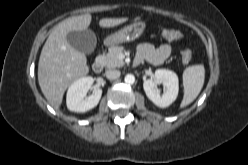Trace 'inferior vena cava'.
I'll list each match as a JSON object with an SVG mask.
<instances>
[{"label":"inferior vena cava","instance_id":"1","mask_svg":"<svg viewBox=\"0 0 248 165\" xmlns=\"http://www.w3.org/2000/svg\"><path fill=\"white\" fill-rule=\"evenodd\" d=\"M120 71L119 70H107L106 72H105V75H106V77L108 78V79H110V80H114V79H117V78H119L120 77Z\"/></svg>","mask_w":248,"mask_h":165}]
</instances>
